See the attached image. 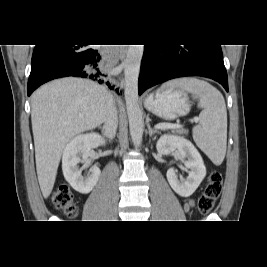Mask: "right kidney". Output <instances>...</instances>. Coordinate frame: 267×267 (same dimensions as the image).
<instances>
[{
  "label": "right kidney",
  "instance_id": "right-kidney-1",
  "mask_svg": "<svg viewBox=\"0 0 267 267\" xmlns=\"http://www.w3.org/2000/svg\"><path fill=\"white\" fill-rule=\"evenodd\" d=\"M105 144L104 139L97 133L78 135L73 138L65 147L62 156V170L67 182L79 193L87 194L96 185L101 174L97 166L90 169V174L82 176L78 164L89 165L90 151Z\"/></svg>",
  "mask_w": 267,
  "mask_h": 267
}]
</instances>
